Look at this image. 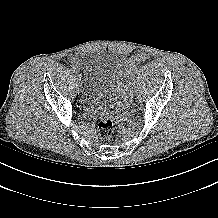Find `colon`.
Listing matches in <instances>:
<instances>
[{"mask_svg": "<svg viewBox=\"0 0 218 218\" xmlns=\"http://www.w3.org/2000/svg\"><path fill=\"white\" fill-rule=\"evenodd\" d=\"M114 124L110 117L101 116L97 124L98 136L101 140L106 141L112 137Z\"/></svg>", "mask_w": 218, "mask_h": 218, "instance_id": "obj_1", "label": "colon"}]
</instances>
